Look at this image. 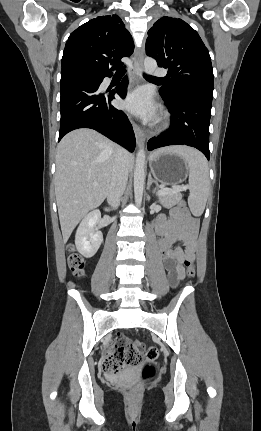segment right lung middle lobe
<instances>
[{
  "label": "right lung middle lobe",
  "mask_w": 261,
  "mask_h": 431,
  "mask_svg": "<svg viewBox=\"0 0 261 431\" xmlns=\"http://www.w3.org/2000/svg\"><path fill=\"white\" fill-rule=\"evenodd\" d=\"M91 75H95V74H92L86 71H81V70H73V71L61 73V78L66 76H91Z\"/></svg>",
  "instance_id": "dd1d6c3e"
}]
</instances>
